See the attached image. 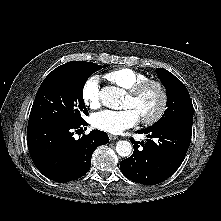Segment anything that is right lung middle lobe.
<instances>
[{
    "mask_svg": "<svg viewBox=\"0 0 221 221\" xmlns=\"http://www.w3.org/2000/svg\"><path fill=\"white\" fill-rule=\"evenodd\" d=\"M104 67L76 61L50 72L38 89L28 127L82 123V115H88L82 95L84 85L90 75Z\"/></svg>",
    "mask_w": 221,
    "mask_h": 221,
    "instance_id": "1",
    "label": "right lung middle lobe"
}]
</instances>
